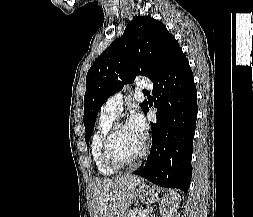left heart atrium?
I'll use <instances>...</instances> for the list:
<instances>
[{
    "mask_svg": "<svg viewBox=\"0 0 253 217\" xmlns=\"http://www.w3.org/2000/svg\"><path fill=\"white\" fill-rule=\"evenodd\" d=\"M127 126L135 133L144 138L146 132V122L138 111H133L128 119Z\"/></svg>",
    "mask_w": 253,
    "mask_h": 217,
    "instance_id": "obj_1",
    "label": "left heart atrium"
}]
</instances>
